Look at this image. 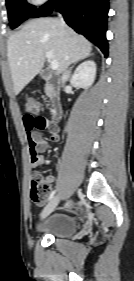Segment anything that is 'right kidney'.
<instances>
[{"label":"right kidney","mask_w":134,"mask_h":281,"mask_svg":"<svg viewBox=\"0 0 134 281\" xmlns=\"http://www.w3.org/2000/svg\"><path fill=\"white\" fill-rule=\"evenodd\" d=\"M96 76V64L94 61H86L78 66L71 78L74 87L88 89L94 82Z\"/></svg>","instance_id":"ca27d5eb"}]
</instances>
